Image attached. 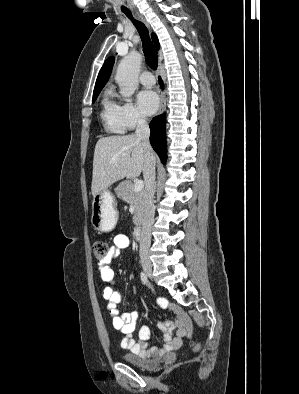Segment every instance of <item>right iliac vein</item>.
<instances>
[{
	"label": "right iliac vein",
	"instance_id": "obj_1",
	"mask_svg": "<svg viewBox=\"0 0 299 394\" xmlns=\"http://www.w3.org/2000/svg\"><path fill=\"white\" fill-rule=\"evenodd\" d=\"M143 270L149 278H152V266L150 264H143Z\"/></svg>",
	"mask_w": 299,
	"mask_h": 394
}]
</instances>
